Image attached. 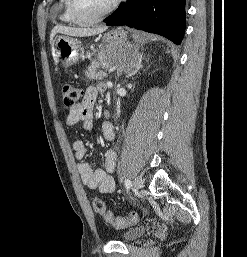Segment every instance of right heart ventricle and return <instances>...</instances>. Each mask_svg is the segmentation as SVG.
Instances as JSON below:
<instances>
[{"instance_id":"obj_1","label":"right heart ventricle","mask_w":247,"mask_h":257,"mask_svg":"<svg viewBox=\"0 0 247 257\" xmlns=\"http://www.w3.org/2000/svg\"><path fill=\"white\" fill-rule=\"evenodd\" d=\"M62 6L61 20L68 23H75L70 9H69V0H60Z\"/></svg>"}]
</instances>
